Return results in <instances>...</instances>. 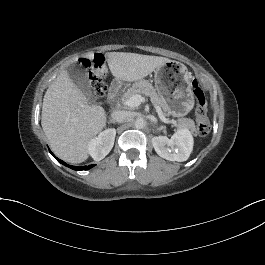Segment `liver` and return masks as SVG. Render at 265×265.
Instances as JSON below:
<instances>
[{"label": "liver", "mask_w": 265, "mask_h": 265, "mask_svg": "<svg viewBox=\"0 0 265 265\" xmlns=\"http://www.w3.org/2000/svg\"><path fill=\"white\" fill-rule=\"evenodd\" d=\"M105 59L113 77L129 83L146 78L170 62L164 57L119 52L106 53ZM100 72L108 74L107 67L103 65ZM107 115L105 108L87 104L85 94L64 69L44 95L41 126L52 151L76 164L89 158L90 142L104 130Z\"/></svg>", "instance_id": "liver-1"}]
</instances>
